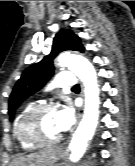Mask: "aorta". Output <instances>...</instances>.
<instances>
[{
  "label": "aorta",
  "mask_w": 135,
  "mask_h": 166,
  "mask_svg": "<svg viewBox=\"0 0 135 166\" xmlns=\"http://www.w3.org/2000/svg\"><path fill=\"white\" fill-rule=\"evenodd\" d=\"M58 66L70 69L84 85V115L69 145V159L75 163L84 155L98 123L100 98L97 76L93 65L82 56L62 54L58 57Z\"/></svg>",
  "instance_id": "aorta-1"
}]
</instances>
